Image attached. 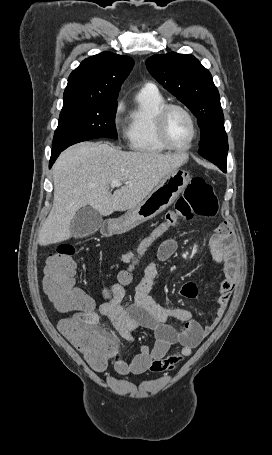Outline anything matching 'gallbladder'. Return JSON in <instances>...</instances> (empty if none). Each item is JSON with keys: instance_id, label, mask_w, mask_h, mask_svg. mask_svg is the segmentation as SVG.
Wrapping results in <instances>:
<instances>
[{"instance_id": "obj_1", "label": "gallbladder", "mask_w": 272, "mask_h": 455, "mask_svg": "<svg viewBox=\"0 0 272 455\" xmlns=\"http://www.w3.org/2000/svg\"><path fill=\"white\" fill-rule=\"evenodd\" d=\"M102 217L90 206L80 209L71 221L70 229L75 238L89 236L99 230Z\"/></svg>"}]
</instances>
